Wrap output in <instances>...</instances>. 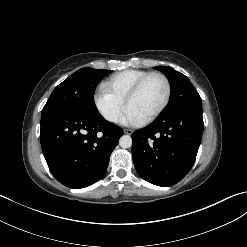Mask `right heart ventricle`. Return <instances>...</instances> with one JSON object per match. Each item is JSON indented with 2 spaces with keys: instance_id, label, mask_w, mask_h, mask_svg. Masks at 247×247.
Wrapping results in <instances>:
<instances>
[{
  "instance_id": "obj_1",
  "label": "right heart ventricle",
  "mask_w": 247,
  "mask_h": 247,
  "mask_svg": "<svg viewBox=\"0 0 247 247\" xmlns=\"http://www.w3.org/2000/svg\"><path fill=\"white\" fill-rule=\"evenodd\" d=\"M148 73L150 72L139 69L125 70L109 77L104 86L117 97L125 100L130 89Z\"/></svg>"
}]
</instances>
